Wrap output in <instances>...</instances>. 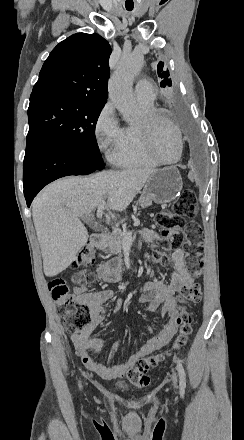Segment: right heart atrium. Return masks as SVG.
I'll use <instances>...</instances> for the list:
<instances>
[{
  "label": "right heart atrium",
  "mask_w": 244,
  "mask_h": 440,
  "mask_svg": "<svg viewBox=\"0 0 244 440\" xmlns=\"http://www.w3.org/2000/svg\"><path fill=\"white\" fill-rule=\"evenodd\" d=\"M123 129L119 123L114 104L108 101L96 118L94 133L99 147L109 152L121 143ZM130 142H124L123 149L128 150Z\"/></svg>",
  "instance_id": "obj_1"
}]
</instances>
